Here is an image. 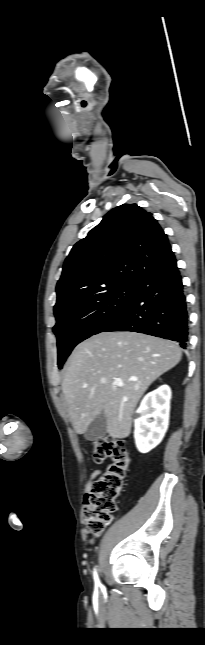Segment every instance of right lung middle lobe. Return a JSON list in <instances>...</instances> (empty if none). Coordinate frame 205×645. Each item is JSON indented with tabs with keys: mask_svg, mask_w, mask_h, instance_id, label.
Masks as SVG:
<instances>
[{
	"mask_svg": "<svg viewBox=\"0 0 205 645\" xmlns=\"http://www.w3.org/2000/svg\"><path fill=\"white\" fill-rule=\"evenodd\" d=\"M135 284L121 285L89 295L55 314L58 367L61 369L72 349L88 337L102 332L134 301Z\"/></svg>",
	"mask_w": 205,
	"mask_h": 645,
	"instance_id": "1",
	"label": "right lung middle lobe"
}]
</instances>
